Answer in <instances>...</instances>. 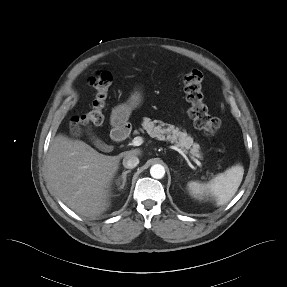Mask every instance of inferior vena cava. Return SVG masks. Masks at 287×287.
Instances as JSON below:
<instances>
[{"mask_svg": "<svg viewBox=\"0 0 287 287\" xmlns=\"http://www.w3.org/2000/svg\"><path fill=\"white\" fill-rule=\"evenodd\" d=\"M139 164V158L132 154L131 152L127 153L123 159V166L128 169H133Z\"/></svg>", "mask_w": 287, "mask_h": 287, "instance_id": "602c4592", "label": "inferior vena cava"}]
</instances>
